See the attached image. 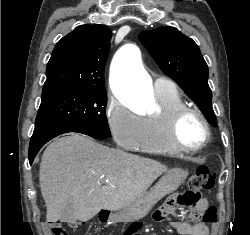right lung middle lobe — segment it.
I'll use <instances>...</instances> for the list:
<instances>
[{"mask_svg":"<svg viewBox=\"0 0 250 235\" xmlns=\"http://www.w3.org/2000/svg\"><path fill=\"white\" fill-rule=\"evenodd\" d=\"M106 105L105 88L55 93L42 97L35 125L68 123L110 137Z\"/></svg>","mask_w":250,"mask_h":235,"instance_id":"dd1d6c3e","label":"right lung middle lobe"}]
</instances>
